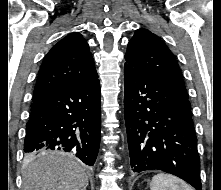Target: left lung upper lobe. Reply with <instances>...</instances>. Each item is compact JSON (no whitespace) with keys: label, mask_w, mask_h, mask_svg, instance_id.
<instances>
[{"label":"left lung upper lobe","mask_w":221,"mask_h":190,"mask_svg":"<svg viewBox=\"0 0 221 190\" xmlns=\"http://www.w3.org/2000/svg\"><path fill=\"white\" fill-rule=\"evenodd\" d=\"M125 59L127 64L148 71L183 97L188 98L182 74L173 53L149 30H136L128 43Z\"/></svg>","instance_id":"5c2ea615"}]
</instances>
